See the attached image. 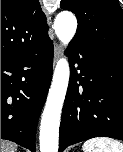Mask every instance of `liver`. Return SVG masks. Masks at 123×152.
I'll return each instance as SVG.
<instances>
[{
	"label": "liver",
	"mask_w": 123,
	"mask_h": 152,
	"mask_svg": "<svg viewBox=\"0 0 123 152\" xmlns=\"http://www.w3.org/2000/svg\"><path fill=\"white\" fill-rule=\"evenodd\" d=\"M1 152H17V145L10 141L1 140Z\"/></svg>",
	"instance_id": "obj_1"
}]
</instances>
